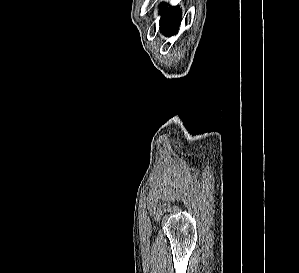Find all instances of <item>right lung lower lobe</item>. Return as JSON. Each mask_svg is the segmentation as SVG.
Segmentation results:
<instances>
[{
    "mask_svg": "<svg viewBox=\"0 0 299 273\" xmlns=\"http://www.w3.org/2000/svg\"><path fill=\"white\" fill-rule=\"evenodd\" d=\"M162 18L160 20V29L166 36H171L177 33L180 20L181 10L177 7H167L165 3L160 5Z\"/></svg>",
    "mask_w": 299,
    "mask_h": 273,
    "instance_id": "obj_1",
    "label": "right lung lower lobe"
}]
</instances>
